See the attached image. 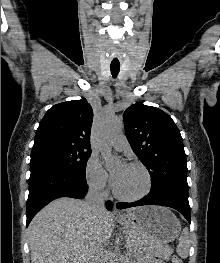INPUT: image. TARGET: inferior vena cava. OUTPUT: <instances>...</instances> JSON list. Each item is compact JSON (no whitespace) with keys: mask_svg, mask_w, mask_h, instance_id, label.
Segmentation results:
<instances>
[{"mask_svg":"<svg viewBox=\"0 0 220 263\" xmlns=\"http://www.w3.org/2000/svg\"><path fill=\"white\" fill-rule=\"evenodd\" d=\"M105 196L102 192L101 184H91L86 196L85 204L87 210L91 215L101 213L105 210L104 206ZM104 246L102 245L98 251H96L92 258L91 263H104Z\"/></svg>","mask_w":220,"mask_h":263,"instance_id":"obj_1","label":"inferior vena cava"}]
</instances>
